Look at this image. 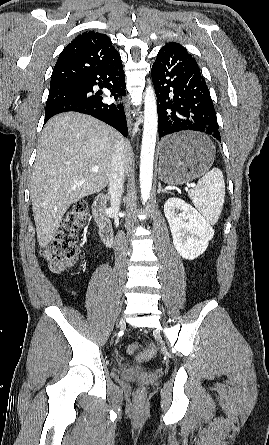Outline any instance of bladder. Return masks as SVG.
Wrapping results in <instances>:
<instances>
[{
    "label": "bladder",
    "instance_id": "31cf9c89",
    "mask_svg": "<svg viewBox=\"0 0 269 445\" xmlns=\"http://www.w3.org/2000/svg\"><path fill=\"white\" fill-rule=\"evenodd\" d=\"M120 367H123V365L122 366H120ZM135 369H137V370H140V371H144V369L143 368H141V367H139V366H133Z\"/></svg>",
    "mask_w": 269,
    "mask_h": 445
}]
</instances>
